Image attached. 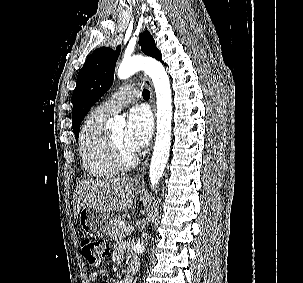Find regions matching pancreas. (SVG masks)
<instances>
[{
    "label": "pancreas",
    "instance_id": "1",
    "mask_svg": "<svg viewBox=\"0 0 303 283\" xmlns=\"http://www.w3.org/2000/svg\"><path fill=\"white\" fill-rule=\"evenodd\" d=\"M121 218H115L112 223L110 238L113 240H120L125 238L127 232L125 231L126 225L121 224Z\"/></svg>",
    "mask_w": 303,
    "mask_h": 283
}]
</instances>
